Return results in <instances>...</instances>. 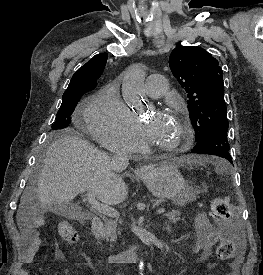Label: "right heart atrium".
Returning a JSON list of instances; mask_svg holds the SVG:
<instances>
[{
  "instance_id": "obj_1",
  "label": "right heart atrium",
  "mask_w": 263,
  "mask_h": 275,
  "mask_svg": "<svg viewBox=\"0 0 263 275\" xmlns=\"http://www.w3.org/2000/svg\"><path fill=\"white\" fill-rule=\"evenodd\" d=\"M84 124L98 143L112 151L131 153L142 144L139 124L115 88H105L93 96Z\"/></svg>"
}]
</instances>
